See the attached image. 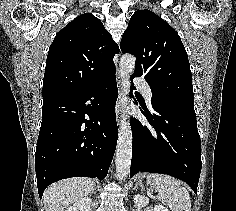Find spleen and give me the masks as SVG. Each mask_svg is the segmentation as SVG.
<instances>
[{"label":"spleen","instance_id":"3e777b00","mask_svg":"<svg viewBox=\"0 0 236 211\" xmlns=\"http://www.w3.org/2000/svg\"><path fill=\"white\" fill-rule=\"evenodd\" d=\"M147 182L168 204L171 211H191L189 193L176 178L164 174H149Z\"/></svg>","mask_w":236,"mask_h":211}]
</instances>
